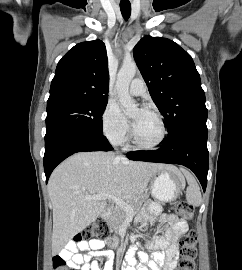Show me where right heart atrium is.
<instances>
[{
    "label": "right heart atrium",
    "instance_id": "d8ad5b80",
    "mask_svg": "<svg viewBox=\"0 0 242 270\" xmlns=\"http://www.w3.org/2000/svg\"><path fill=\"white\" fill-rule=\"evenodd\" d=\"M103 134L113 144L121 145L128 141L130 126L119 107L108 102L101 118Z\"/></svg>",
    "mask_w": 242,
    "mask_h": 270
}]
</instances>
